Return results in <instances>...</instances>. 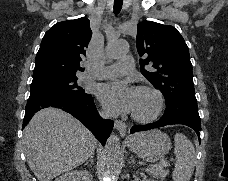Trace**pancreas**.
<instances>
[{
    "label": "pancreas",
    "mask_w": 228,
    "mask_h": 181,
    "mask_svg": "<svg viewBox=\"0 0 228 181\" xmlns=\"http://www.w3.org/2000/svg\"><path fill=\"white\" fill-rule=\"evenodd\" d=\"M154 175L155 179H164V177H167L169 175V171H162V169H154Z\"/></svg>",
    "instance_id": "cf45deb5"
}]
</instances>
